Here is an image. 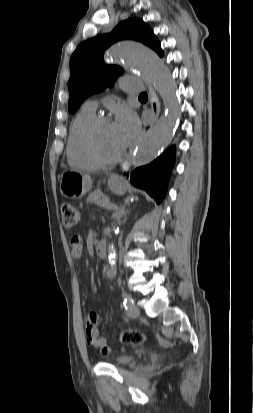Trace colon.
<instances>
[{"label":"colon","mask_w":253,"mask_h":413,"mask_svg":"<svg viewBox=\"0 0 253 413\" xmlns=\"http://www.w3.org/2000/svg\"><path fill=\"white\" fill-rule=\"evenodd\" d=\"M61 218L64 226L70 228L77 224L79 212L73 204L64 202L61 204ZM119 338L122 343L130 345H140L146 341V335L144 333L132 329L120 332Z\"/></svg>","instance_id":"1"}]
</instances>
